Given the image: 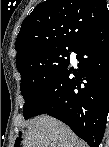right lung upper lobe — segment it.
<instances>
[{"label": "right lung upper lobe", "mask_w": 109, "mask_h": 147, "mask_svg": "<svg viewBox=\"0 0 109 147\" xmlns=\"http://www.w3.org/2000/svg\"><path fill=\"white\" fill-rule=\"evenodd\" d=\"M109 19L105 0H46L22 22L15 47L17 69L39 53L73 47Z\"/></svg>", "instance_id": "cb5924a9"}]
</instances>
